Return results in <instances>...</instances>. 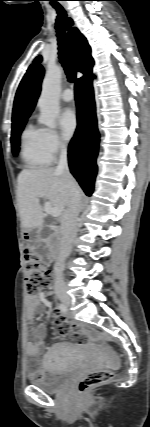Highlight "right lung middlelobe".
Listing matches in <instances>:
<instances>
[{
    "instance_id": "dd1d6c3e",
    "label": "right lung middle lobe",
    "mask_w": 150,
    "mask_h": 427,
    "mask_svg": "<svg viewBox=\"0 0 150 427\" xmlns=\"http://www.w3.org/2000/svg\"><path fill=\"white\" fill-rule=\"evenodd\" d=\"M26 121L27 119H24L12 124L11 146H12V152L14 155H17V153L19 152L20 134L24 128Z\"/></svg>"
}]
</instances>
